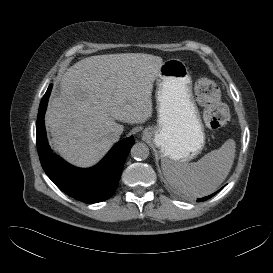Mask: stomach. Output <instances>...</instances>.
Segmentation results:
<instances>
[{"instance_id":"stomach-1","label":"stomach","mask_w":273,"mask_h":273,"mask_svg":"<svg viewBox=\"0 0 273 273\" xmlns=\"http://www.w3.org/2000/svg\"><path fill=\"white\" fill-rule=\"evenodd\" d=\"M155 97L157 124L145 128L144 135L159 149L161 161L189 162L203 150L205 132L184 62H163L156 77Z\"/></svg>"}]
</instances>
